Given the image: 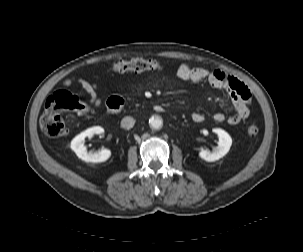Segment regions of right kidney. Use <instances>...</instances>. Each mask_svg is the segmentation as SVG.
<instances>
[{
	"label": "right kidney",
	"instance_id": "1",
	"mask_svg": "<svg viewBox=\"0 0 303 252\" xmlns=\"http://www.w3.org/2000/svg\"><path fill=\"white\" fill-rule=\"evenodd\" d=\"M104 132V129L100 126H94L88 128L87 130L83 131L79 135H77L71 141V149L76 153L78 158L85 162H92V163H101L108 160L111 156V151L108 149H102L98 152H88L87 148L84 145V140L86 137H92L96 134H101Z\"/></svg>",
	"mask_w": 303,
	"mask_h": 252
}]
</instances>
